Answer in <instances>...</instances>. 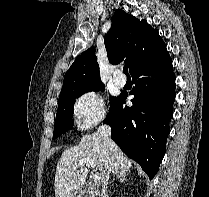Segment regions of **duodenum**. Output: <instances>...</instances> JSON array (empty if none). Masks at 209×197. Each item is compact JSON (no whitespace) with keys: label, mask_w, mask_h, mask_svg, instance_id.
Returning <instances> with one entry per match:
<instances>
[{"label":"duodenum","mask_w":209,"mask_h":197,"mask_svg":"<svg viewBox=\"0 0 209 197\" xmlns=\"http://www.w3.org/2000/svg\"><path fill=\"white\" fill-rule=\"evenodd\" d=\"M81 194H82L83 196H86V197H88V196H94V195H95V191H94L93 188H91L90 186H88V185H83V186L81 187Z\"/></svg>","instance_id":"obj_1"}]
</instances>
